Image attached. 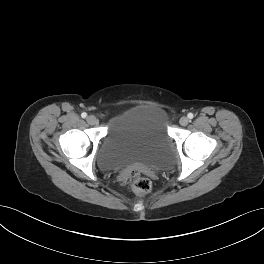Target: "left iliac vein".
Here are the masks:
<instances>
[{"instance_id":"4c4485c4","label":"left iliac vein","mask_w":264,"mask_h":264,"mask_svg":"<svg viewBox=\"0 0 264 264\" xmlns=\"http://www.w3.org/2000/svg\"><path fill=\"white\" fill-rule=\"evenodd\" d=\"M179 122L182 126H186L189 123V119L186 116H183L180 118Z\"/></svg>"}]
</instances>
